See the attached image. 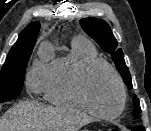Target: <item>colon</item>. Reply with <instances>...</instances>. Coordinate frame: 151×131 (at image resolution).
<instances>
[{
	"label": "colon",
	"mask_w": 151,
	"mask_h": 131,
	"mask_svg": "<svg viewBox=\"0 0 151 131\" xmlns=\"http://www.w3.org/2000/svg\"><path fill=\"white\" fill-rule=\"evenodd\" d=\"M110 131H124V130L119 129V128H113V129H111Z\"/></svg>",
	"instance_id": "colon-1"
}]
</instances>
